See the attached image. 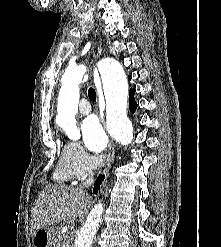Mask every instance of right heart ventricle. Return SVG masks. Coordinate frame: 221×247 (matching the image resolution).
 <instances>
[{
	"label": "right heart ventricle",
	"instance_id": "1",
	"mask_svg": "<svg viewBox=\"0 0 221 247\" xmlns=\"http://www.w3.org/2000/svg\"><path fill=\"white\" fill-rule=\"evenodd\" d=\"M54 178L62 183L72 179V176L69 174L68 170H66L63 165L62 157L60 158L59 166L55 171Z\"/></svg>",
	"mask_w": 221,
	"mask_h": 247
}]
</instances>
